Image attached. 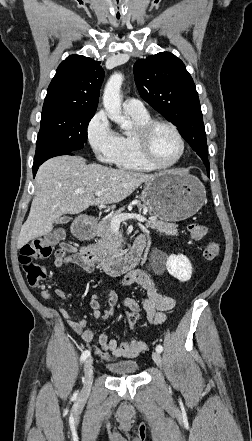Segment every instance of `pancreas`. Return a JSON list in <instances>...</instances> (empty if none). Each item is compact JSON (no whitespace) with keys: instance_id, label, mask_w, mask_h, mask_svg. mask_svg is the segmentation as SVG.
Listing matches in <instances>:
<instances>
[{"instance_id":"obj_1","label":"pancreas","mask_w":252,"mask_h":441,"mask_svg":"<svg viewBox=\"0 0 252 441\" xmlns=\"http://www.w3.org/2000/svg\"><path fill=\"white\" fill-rule=\"evenodd\" d=\"M137 207L140 211L141 209L146 208L145 205L141 204H138ZM124 209V207L120 208L102 219L96 228L97 239L96 244L93 246V250L101 261H106L119 254L117 244L118 236L112 231L111 220L114 216L122 214ZM146 227L168 235H176L178 233V225L157 219L147 221Z\"/></svg>"}]
</instances>
